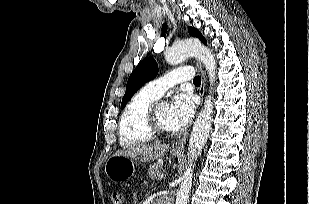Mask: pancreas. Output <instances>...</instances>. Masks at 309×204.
I'll return each mask as SVG.
<instances>
[{
  "label": "pancreas",
  "mask_w": 309,
  "mask_h": 204,
  "mask_svg": "<svg viewBox=\"0 0 309 204\" xmlns=\"http://www.w3.org/2000/svg\"><path fill=\"white\" fill-rule=\"evenodd\" d=\"M161 166L158 163H154L153 165H150L147 169V173L150 175L152 179L160 180L161 179Z\"/></svg>",
  "instance_id": "pancreas-1"
}]
</instances>
